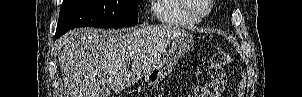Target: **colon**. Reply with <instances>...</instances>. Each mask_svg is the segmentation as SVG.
I'll return each mask as SVG.
<instances>
[{
  "label": "colon",
  "instance_id": "obj_1",
  "mask_svg": "<svg viewBox=\"0 0 302 97\" xmlns=\"http://www.w3.org/2000/svg\"><path fill=\"white\" fill-rule=\"evenodd\" d=\"M231 63V57L227 52H215L210 61V80L195 89V97H216L225 87V66Z\"/></svg>",
  "mask_w": 302,
  "mask_h": 97
}]
</instances>
